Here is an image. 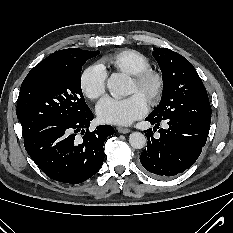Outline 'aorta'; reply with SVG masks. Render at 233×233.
Listing matches in <instances>:
<instances>
[{
  "instance_id": "aorta-1",
  "label": "aorta",
  "mask_w": 233,
  "mask_h": 233,
  "mask_svg": "<svg viewBox=\"0 0 233 233\" xmlns=\"http://www.w3.org/2000/svg\"><path fill=\"white\" fill-rule=\"evenodd\" d=\"M107 88L114 97L129 95L131 92V80L122 73H113L107 81ZM129 143L135 149H141L146 145V137L140 132L129 135Z\"/></svg>"
}]
</instances>
